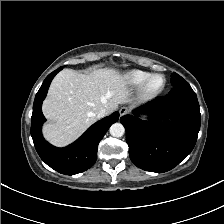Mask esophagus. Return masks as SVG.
Here are the masks:
<instances>
[{"mask_svg": "<svg viewBox=\"0 0 224 224\" xmlns=\"http://www.w3.org/2000/svg\"><path fill=\"white\" fill-rule=\"evenodd\" d=\"M128 108L127 107H121L120 109H119V114H120V116H124V115H126L127 113H128Z\"/></svg>", "mask_w": 224, "mask_h": 224, "instance_id": "34e87169", "label": "esophagus"}]
</instances>
